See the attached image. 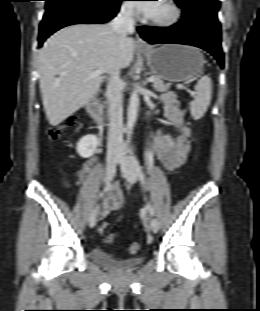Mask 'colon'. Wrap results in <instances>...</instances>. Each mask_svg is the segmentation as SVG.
<instances>
[{
  "label": "colon",
  "mask_w": 260,
  "mask_h": 311,
  "mask_svg": "<svg viewBox=\"0 0 260 311\" xmlns=\"http://www.w3.org/2000/svg\"><path fill=\"white\" fill-rule=\"evenodd\" d=\"M76 124H77L76 118H70L66 122V126H69V127L75 126ZM62 132H63L62 126H55V127H52L49 129L48 135H49L50 139L55 140L61 136ZM108 226H109V224L107 222L102 223L100 228H99V232L103 233L104 231L107 230ZM114 240H115L114 234H108L104 238L105 243H113ZM139 250H140V245L137 242L131 243L128 247V251L130 254H136L139 252Z\"/></svg>",
  "instance_id": "5ec220e1"
}]
</instances>
